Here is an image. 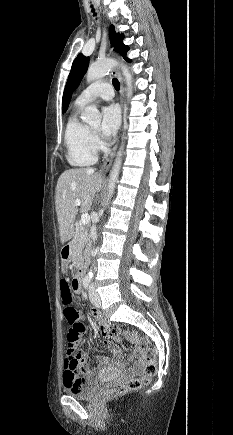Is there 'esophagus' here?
<instances>
[{"mask_svg":"<svg viewBox=\"0 0 233 435\" xmlns=\"http://www.w3.org/2000/svg\"><path fill=\"white\" fill-rule=\"evenodd\" d=\"M112 74L117 76V78H118V80L120 82V102H121L122 109L124 110V99H123L124 98V85H123V79H122L121 73H120V71L117 68H115L113 70ZM118 142L113 147V149L110 152L109 156L106 158L105 162L103 163L102 168H101L102 172H106L110 168V166H111V164L113 162V159L115 157L117 148H118Z\"/></svg>","mask_w":233,"mask_h":435,"instance_id":"obj_1","label":"esophagus"}]
</instances>
